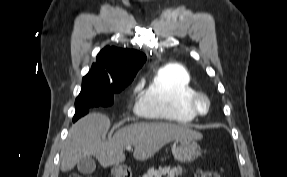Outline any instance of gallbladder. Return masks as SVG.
Listing matches in <instances>:
<instances>
[{"instance_id": "bac80fb5", "label": "gallbladder", "mask_w": 287, "mask_h": 177, "mask_svg": "<svg viewBox=\"0 0 287 177\" xmlns=\"http://www.w3.org/2000/svg\"><path fill=\"white\" fill-rule=\"evenodd\" d=\"M78 171L82 174H92L96 169L95 160L91 156L82 157L77 162Z\"/></svg>"}]
</instances>
